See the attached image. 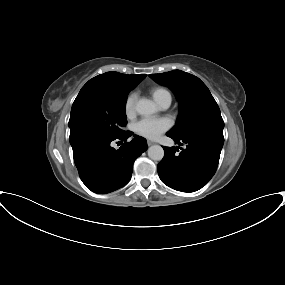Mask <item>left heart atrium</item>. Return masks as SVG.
<instances>
[{"mask_svg": "<svg viewBox=\"0 0 285 285\" xmlns=\"http://www.w3.org/2000/svg\"><path fill=\"white\" fill-rule=\"evenodd\" d=\"M171 123L166 118H144L134 125V131L139 136L155 140L167 131Z\"/></svg>", "mask_w": 285, "mask_h": 285, "instance_id": "1", "label": "left heart atrium"}]
</instances>
